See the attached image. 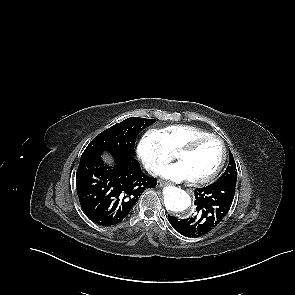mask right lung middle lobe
<instances>
[{
  "instance_id": "1",
  "label": "right lung middle lobe",
  "mask_w": 295,
  "mask_h": 295,
  "mask_svg": "<svg viewBox=\"0 0 295 295\" xmlns=\"http://www.w3.org/2000/svg\"><path fill=\"white\" fill-rule=\"evenodd\" d=\"M155 119L131 117L101 132L86 147L81 160L100 156L103 151L111 154L130 153L134 155L137 135L152 125Z\"/></svg>"
}]
</instances>
